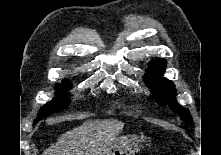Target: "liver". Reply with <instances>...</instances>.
<instances>
[{"label": "liver", "instance_id": "liver-1", "mask_svg": "<svg viewBox=\"0 0 221 155\" xmlns=\"http://www.w3.org/2000/svg\"><path fill=\"white\" fill-rule=\"evenodd\" d=\"M123 127L116 119L86 121L62 134L43 155H105Z\"/></svg>", "mask_w": 221, "mask_h": 155}]
</instances>
